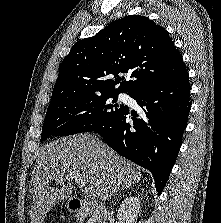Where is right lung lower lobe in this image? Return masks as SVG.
I'll return each instance as SVG.
<instances>
[{
    "label": "right lung lower lobe",
    "mask_w": 221,
    "mask_h": 223,
    "mask_svg": "<svg viewBox=\"0 0 221 223\" xmlns=\"http://www.w3.org/2000/svg\"><path fill=\"white\" fill-rule=\"evenodd\" d=\"M190 88L187 70L170 81L140 88L129 96L143 109L141 115L126 106L93 130L117 153L148 169L158 195L169 178L187 126Z\"/></svg>",
    "instance_id": "1"
}]
</instances>
